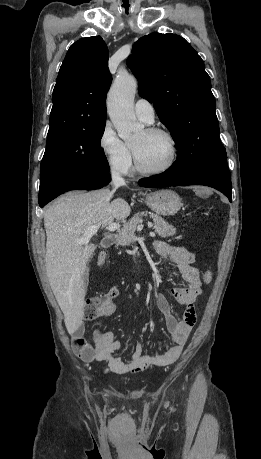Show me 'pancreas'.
<instances>
[{"label":"pancreas","instance_id":"pancreas-1","mask_svg":"<svg viewBox=\"0 0 261 459\" xmlns=\"http://www.w3.org/2000/svg\"><path fill=\"white\" fill-rule=\"evenodd\" d=\"M149 214L154 221V230L162 238L170 237L176 234V228L164 221L158 214L151 212H142L135 214L128 223L124 224L121 231L117 234V244L129 246L135 239V231L141 221L142 216Z\"/></svg>","mask_w":261,"mask_h":459}]
</instances>
